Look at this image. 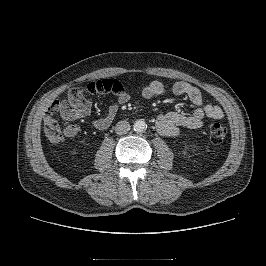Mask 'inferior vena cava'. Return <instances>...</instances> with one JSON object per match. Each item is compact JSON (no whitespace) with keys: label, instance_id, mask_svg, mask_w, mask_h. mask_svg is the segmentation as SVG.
Segmentation results:
<instances>
[{"label":"inferior vena cava","instance_id":"1","mask_svg":"<svg viewBox=\"0 0 266 266\" xmlns=\"http://www.w3.org/2000/svg\"><path fill=\"white\" fill-rule=\"evenodd\" d=\"M130 130V124L129 122L123 120L119 121L115 126V132L118 135H124Z\"/></svg>","mask_w":266,"mask_h":266}]
</instances>
